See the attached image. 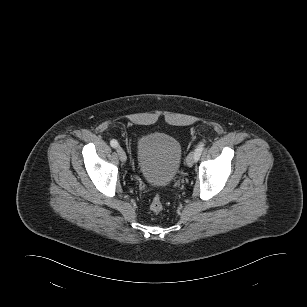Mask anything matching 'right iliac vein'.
<instances>
[{"label": "right iliac vein", "mask_w": 307, "mask_h": 307, "mask_svg": "<svg viewBox=\"0 0 307 307\" xmlns=\"http://www.w3.org/2000/svg\"><path fill=\"white\" fill-rule=\"evenodd\" d=\"M117 153H118L120 161L121 162H126L127 156H126L125 151L121 147L117 148Z\"/></svg>", "instance_id": "63e3f726"}]
</instances>
